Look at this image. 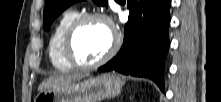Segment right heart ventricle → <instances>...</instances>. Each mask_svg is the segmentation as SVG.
Segmentation results:
<instances>
[{
    "label": "right heart ventricle",
    "instance_id": "e07e8e85",
    "mask_svg": "<svg viewBox=\"0 0 221 102\" xmlns=\"http://www.w3.org/2000/svg\"><path fill=\"white\" fill-rule=\"evenodd\" d=\"M79 13L75 9L65 10L56 22L48 41V54L52 65L59 71H69L73 67L65 60L62 44L66 29Z\"/></svg>",
    "mask_w": 221,
    "mask_h": 102
}]
</instances>
